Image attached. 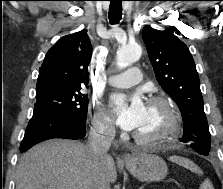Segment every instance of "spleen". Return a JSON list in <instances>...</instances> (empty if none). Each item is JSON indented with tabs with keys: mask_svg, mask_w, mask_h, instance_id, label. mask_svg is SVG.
Segmentation results:
<instances>
[{
	"mask_svg": "<svg viewBox=\"0 0 223 189\" xmlns=\"http://www.w3.org/2000/svg\"><path fill=\"white\" fill-rule=\"evenodd\" d=\"M169 160L180 165V166H183L186 169H189L192 172L202 174V171L200 170V168L196 164H194L192 161H190L189 159L179 157V156H171L169 158ZM200 189H214V188H213V185L210 182V180L206 179L200 185Z\"/></svg>",
	"mask_w": 223,
	"mask_h": 189,
	"instance_id": "3e777b00",
	"label": "spleen"
}]
</instances>
